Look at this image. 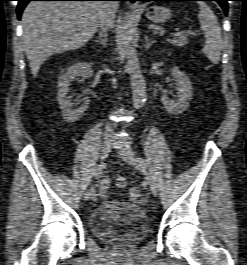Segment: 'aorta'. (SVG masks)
Wrapping results in <instances>:
<instances>
[{
    "mask_svg": "<svg viewBox=\"0 0 247 265\" xmlns=\"http://www.w3.org/2000/svg\"><path fill=\"white\" fill-rule=\"evenodd\" d=\"M133 18L130 12H127L122 26V43L126 55V69L130 76L132 88V101L135 109H140L146 101L147 91L146 82L142 75L137 52L133 47Z\"/></svg>",
    "mask_w": 247,
    "mask_h": 265,
    "instance_id": "obj_1",
    "label": "aorta"
}]
</instances>
